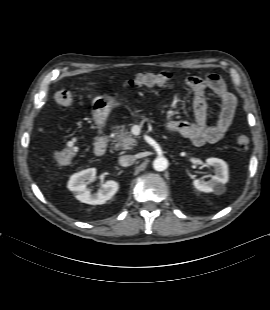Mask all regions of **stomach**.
<instances>
[{"label": "stomach", "mask_w": 270, "mask_h": 310, "mask_svg": "<svg viewBox=\"0 0 270 310\" xmlns=\"http://www.w3.org/2000/svg\"><path fill=\"white\" fill-rule=\"evenodd\" d=\"M119 105L117 96L103 95L95 97L91 104L94 122L98 126L103 125L110 112Z\"/></svg>", "instance_id": "0dacf381"}]
</instances>
